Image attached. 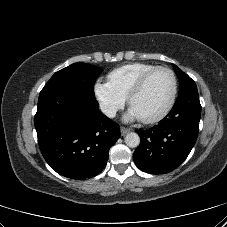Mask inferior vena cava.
<instances>
[{"instance_id": "obj_1", "label": "inferior vena cava", "mask_w": 227, "mask_h": 227, "mask_svg": "<svg viewBox=\"0 0 227 227\" xmlns=\"http://www.w3.org/2000/svg\"><path fill=\"white\" fill-rule=\"evenodd\" d=\"M100 109L109 118H113L116 116V109L114 107L102 103L100 104Z\"/></svg>"}]
</instances>
